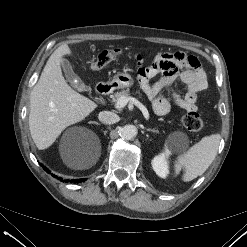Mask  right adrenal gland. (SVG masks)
Wrapping results in <instances>:
<instances>
[{
    "label": "right adrenal gland",
    "instance_id": "right-adrenal-gland-1",
    "mask_svg": "<svg viewBox=\"0 0 247 247\" xmlns=\"http://www.w3.org/2000/svg\"><path fill=\"white\" fill-rule=\"evenodd\" d=\"M90 123L96 124V125H100V123H98V122H96V121H91Z\"/></svg>",
    "mask_w": 247,
    "mask_h": 247
}]
</instances>
